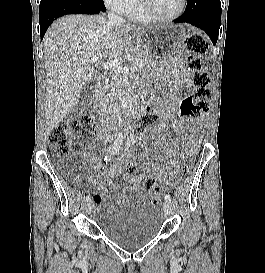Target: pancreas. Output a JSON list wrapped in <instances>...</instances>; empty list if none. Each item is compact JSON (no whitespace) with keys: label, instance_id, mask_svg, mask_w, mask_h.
Segmentation results:
<instances>
[{"label":"pancreas","instance_id":"pancreas-1","mask_svg":"<svg viewBox=\"0 0 265 273\" xmlns=\"http://www.w3.org/2000/svg\"><path fill=\"white\" fill-rule=\"evenodd\" d=\"M129 59L130 65L135 66L136 70H142L150 62V56L143 49L136 47L131 52L124 56V59ZM123 84V78L119 73H113L111 75V82L109 85L104 86L100 92L98 100V107L102 110H107L110 107V102L113 99L111 95L116 89H119ZM120 92L116 91L115 93Z\"/></svg>","mask_w":265,"mask_h":273}]
</instances>
